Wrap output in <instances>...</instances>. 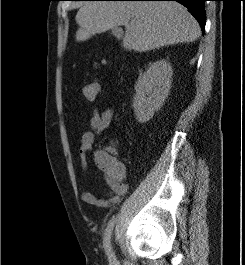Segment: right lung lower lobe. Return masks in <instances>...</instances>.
Instances as JSON below:
<instances>
[{
    "mask_svg": "<svg viewBox=\"0 0 245 265\" xmlns=\"http://www.w3.org/2000/svg\"><path fill=\"white\" fill-rule=\"evenodd\" d=\"M126 1H177L190 10L192 15L200 24L202 31L204 32L205 23H206L204 2L206 0H126Z\"/></svg>",
    "mask_w": 245,
    "mask_h": 265,
    "instance_id": "1",
    "label": "right lung lower lobe"
}]
</instances>
